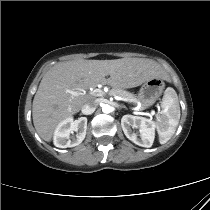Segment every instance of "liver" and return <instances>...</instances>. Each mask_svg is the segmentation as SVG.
I'll return each mask as SVG.
<instances>
[{
  "label": "liver",
  "instance_id": "6515ba94",
  "mask_svg": "<svg viewBox=\"0 0 210 210\" xmlns=\"http://www.w3.org/2000/svg\"><path fill=\"white\" fill-rule=\"evenodd\" d=\"M162 74L163 70L155 62L143 58L79 59L58 63L44 75L34 96V127L39 136L49 142L60 122L93 100L92 95L83 93L84 90L99 84H108L116 89L133 88L149 79L160 78ZM106 76L110 77L106 79Z\"/></svg>",
  "mask_w": 210,
  "mask_h": 210
}]
</instances>
